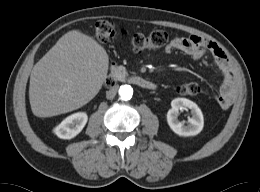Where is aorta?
Masks as SVG:
<instances>
[{"label":"aorta","mask_w":260,"mask_h":192,"mask_svg":"<svg viewBox=\"0 0 260 192\" xmlns=\"http://www.w3.org/2000/svg\"><path fill=\"white\" fill-rule=\"evenodd\" d=\"M119 96L122 100H130L133 95V88L130 85H122L119 88Z\"/></svg>","instance_id":"1"}]
</instances>
